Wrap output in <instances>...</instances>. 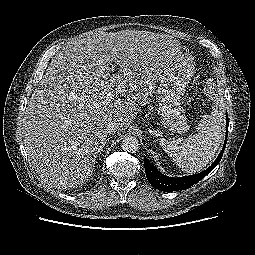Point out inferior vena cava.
<instances>
[{
  "instance_id": "602c4592",
  "label": "inferior vena cava",
  "mask_w": 255,
  "mask_h": 255,
  "mask_svg": "<svg viewBox=\"0 0 255 255\" xmlns=\"http://www.w3.org/2000/svg\"><path fill=\"white\" fill-rule=\"evenodd\" d=\"M117 130H119V124L112 120V121H109L106 125V131L107 133H113V132H116Z\"/></svg>"
}]
</instances>
